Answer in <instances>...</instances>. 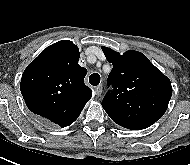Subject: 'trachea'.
Wrapping results in <instances>:
<instances>
[{
    "mask_svg": "<svg viewBox=\"0 0 190 165\" xmlns=\"http://www.w3.org/2000/svg\"><path fill=\"white\" fill-rule=\"evenodd\" d=\"M100 80H101L100 75L97 73H93L89 77V82L93 86H97L100 83Z\"/></svg>",
    "mask_w": 190,
    "mask_h": 165,
    "instance_id": "obj_1",
    "label": "trachea"
}]
</instances>
